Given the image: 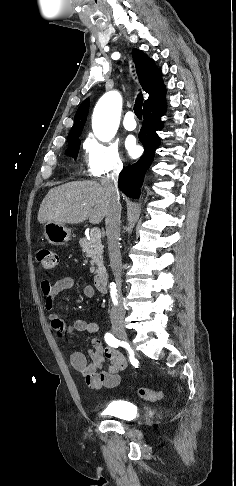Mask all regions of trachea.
<instances>
[{
    "label": "trachea",
    "instance_id": "trachea-1",
    "mask_svg": "<svg viewBox=\"0 0 236 486\" xmlns=\"http://www.w3.org/2000/svg\"><path fill=\"white\" fill-rule=\"evenodd\" d=\"M142 105H143V95L142 93H139L134 105V112L139 119L142 118Z\"/></svg>",
    "mask_w": 236,
    "mask_h": 486
}]
</instances>
